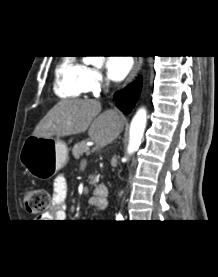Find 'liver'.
<instances>
[{"instance_id": "obj_1", "label": "liver", "mask_w": 218, "mask_h": 277, "mask_svg": "<svg viewBox=\"0 0 218 277\" xmlns=\"http://www.w3.org/2000/svg\"><path fill=\"white\" fill-rule=\"evenodd\" d=\"M101 112L97 100H61L35 127L32 135L42 138L64 137L88 130L96 148L114 141L123 129V121L116 111Z\"/></svg>"}]
</instances>
